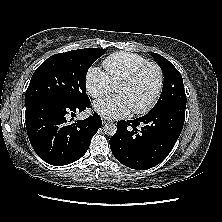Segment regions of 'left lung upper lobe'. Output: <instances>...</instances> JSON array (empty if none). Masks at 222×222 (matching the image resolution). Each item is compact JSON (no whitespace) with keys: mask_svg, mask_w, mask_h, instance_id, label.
I'll list each match as a JSON object with an SVG mask.
<instances>
[{"mask_svg":"<svg viewBox=\"0 0 222 222\" xmlns=\"http://www.w3.org/2000/svg\"><path fill=\"white\" fill-rule=\"evenodd\" d=\"M153 57L159 63L164 74L162 92L159 100L157 101L153 109H156L158 107H161L162 105L171 102L186 103V94L180 72L170 61H168L161 55L154 53Z\"/></svg>","mask_w":222,"mask_h":222,"instance_id":"1","label":"left lung upper lobe"}]
</instances>
